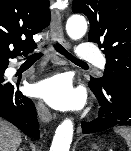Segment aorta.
<instances>
[{"mask_svg":"<svg viewBox=\"0 0 131 151\" xmlns=\"http://www.w3.org/2000/svg\"><path fill=\"white\" fill-rule=\"evenodd\" d=\"M66 30L73 40L82 38L87 30V22L80 15L71 16L66 23ZM73 122L65 119L56 129L50 151H69L73 137Z\"/></svg>","mask_w":131,"mask_h":151,"instance_id":"obj_1","label":"aorta"}]
</instances>
